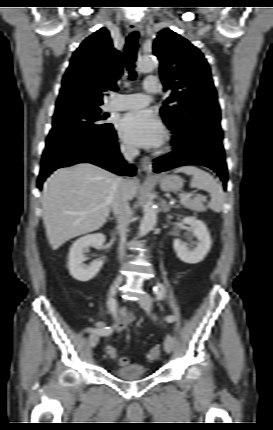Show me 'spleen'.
<instances>
[{
	"mask_svg": "<svg viewBox=\"0 0 273 430\" xmlns=\"http://www.w3.org/2000/svg\"><path fill=\"white\" fill-rule=\"evenodd\" d=\"M174 173H185L187 175H192L190 186L192 188L208 191L211 196L208 207L215 212H222L224 208L222 187L209 173L193 165L179 167L174 170Z\"/></svg>",
	"mask_w": 273,
	"mask_h": 430,
	"instance_id": "obj_1",
	"label": "spleen"
}]
</instances>
